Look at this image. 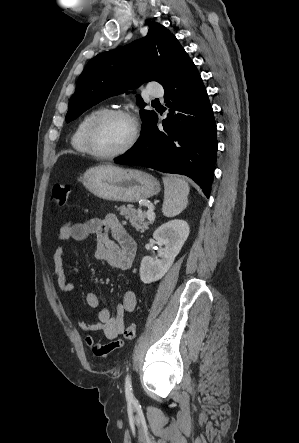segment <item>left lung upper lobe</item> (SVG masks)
I'll return each instance as SVG.
<instances>
[{"mask_svg": "<svg viewBox=\"0 0 299 443\" xmlns=\"http://www.w3.org/2000/svg\"><path fill=\"white\" fill-rule=\"evenodd\" d=\"M192 64L176 37L164 26L154 24L141 40L98 54L88 62L70 99L66 122L102 100L134 89L144 81H157L165 87ZM137 103L141 107L143 129L155 112L143 109L145 103L140 96Z\"/></svg>", "mask_w": 299, "mask_h": 443, "instance_id": "obj_1", "label": "left lung upper lobe"}]
</instances>
